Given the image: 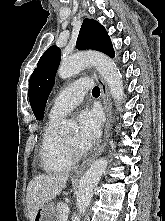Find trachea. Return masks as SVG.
Segmentation results:
<instances>
[{"label": "trachea", "instance_id": "trachea-1", "mask_svg": "<svg viewBox=\"0 0 165 221\" xmlns=\"http://www.w3.org/2000/svg\"><path fill=\"white\" fill-rule=\"evenodd\" d=\"M93 95H100V89L99 87L95 86L92 90Z\"/></svg>", "mask_w": 165, "mask_h": 221}]
</instances>
